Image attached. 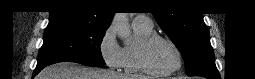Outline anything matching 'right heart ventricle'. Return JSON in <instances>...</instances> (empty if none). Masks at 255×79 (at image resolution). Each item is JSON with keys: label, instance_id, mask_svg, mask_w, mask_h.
Wrapping results in <instances>:
<instances>
[{"label": "right heart ventricle", "instance_id": "1", "mask_svg": "<svg viewBox=\"0 0 255 79\" xmlns=\"http://www.w3.org/2000/svg\"><path fill=\"white\" fill-rule=\"evenodd\" d=\"M133 32L135 43L123 48L122 68L127 74L137 75L143 73L137 58L139 46L145 39L153 34V29L152 27L145 28L142 26L133 25Z\"/></svg>", "mask_w": 255, "mask_h": 79}]
</instances>
